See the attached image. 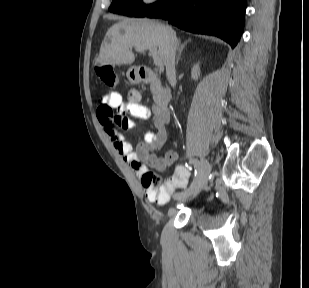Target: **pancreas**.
<instances>
[{
	"label": "pancreas",
	"instance_id": "obj_1",
	"mask_svg": "<svg viewBox=\"0 0 309 288\" xmlns=\"http://www.w3.org/2000/svg\"><path fill=\"white\" fill-rule=\"evenodd\" d=\"M150 90H151V93L154 95L157 91V85L155 83H152L150 86Z\"/></svg>",
	"mask_w": 309,
	"mask_h": 288
}]
</instances>
